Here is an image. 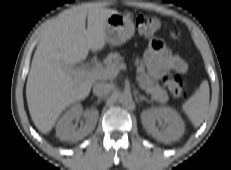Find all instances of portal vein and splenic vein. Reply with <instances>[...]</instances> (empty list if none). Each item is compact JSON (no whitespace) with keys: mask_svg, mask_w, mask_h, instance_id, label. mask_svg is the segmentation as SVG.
Instances as JSON below:
<instances>
[{"mask_svg":"<svg viewBox=\"0 0 231 170\" xmlns=\"http://www.w3.org/2000/svg\"><path fill=\"white\" fill-rule=\"evenodd\" d=\"M127 68L126 64L122 63L116 69L114 68H98L92 72L87 71L84 68L81 69H74L73 67L68 68V72L71 74H80L85 75L89 74L97 79H113L117 76L120 70H125Z\"/></svg>","mask_w":231,"mask_h":170,"instance_id":"portal-vein-and-splenic-vein-1","label":"portal vein and splenic vein"}]
</instances>
